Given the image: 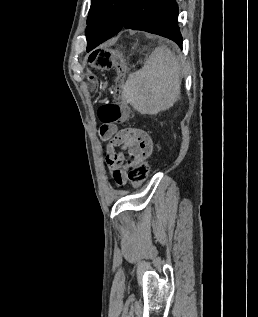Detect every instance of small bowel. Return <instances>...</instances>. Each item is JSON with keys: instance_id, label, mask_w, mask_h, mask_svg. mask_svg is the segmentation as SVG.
Returning a JSON list of instances; mask_svg holds the SVG:
<instances>
[{"instance_id": "c3829d8e", "label": "small bowel", "mask_w": 258, "mask_h": 317, "mask_svg": "<svg viewBox=\"0 0 258 317\" xmlns=\"http://www.w3.org/2000/svg\"><path fill=\"white\" fill-rule=\"evenodd\" d=\"M99 132L102 140L108 142L105 163L112 178L116 184L124 185L127 182V171L152 154L153 141L146 131L139 128L117 131L114 124L103 123ZM117 148L121 150L117 151Z\"/></svg>"}]
</instances>
